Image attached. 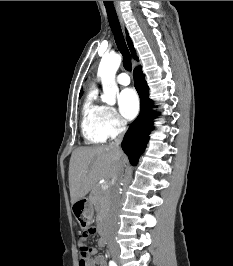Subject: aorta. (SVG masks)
<instances>
[{
  "mask_svg": "<svg viewBox=\"0 0 233 266\" xmlns=\"http://www.w3.org/2000/svg\"><path fill=\"white\" fill-rule=\"evenodd\" d=\"M121 61V55L112 54L104 56L99 64L97 74L101 79L103 87V95L101 96V99L109 105H114L116 102L118 86L115 81V76Z\"/></svg>",
  "mask_w": 233,
  "mask_h": 266,
  "instance_id": "aorta-1",
  "label": "aorta"
}]
</instances>
